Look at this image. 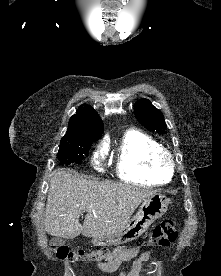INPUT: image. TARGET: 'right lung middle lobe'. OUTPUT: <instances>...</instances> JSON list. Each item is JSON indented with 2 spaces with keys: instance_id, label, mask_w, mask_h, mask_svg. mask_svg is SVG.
<instances>
[{
  "instance_id": "dd1d6c3e",
  "label": "right lung middle lobe",
  "mask_w": 221,
  "mask_h": 276,
  "mask_svg": "<svg viewBox=\"0 0 221 276\" xmlns=\"http://www.w3.org/2000/svg\"><path fill=\"white\" fill-rule=\"evenodd\" d=\"M94 141L97 140L61 141L57 155L60 164L69 165L81 162L84 155L88 153L92 142Z\"/></svg>"
}]
</instances>
